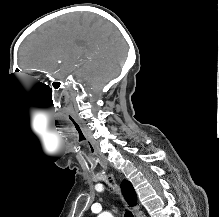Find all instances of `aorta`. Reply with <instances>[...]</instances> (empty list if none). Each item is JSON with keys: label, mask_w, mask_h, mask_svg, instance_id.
I'll return each instance as SVG.
<instances>
[{"label": "aorta", "mask_w": 219, "mask_h": 217, "mask_svg": "<svg viewBox=\"0 0 219 217\" xmlns=\"http://www.w3.org/2000/svg\"><path fill=\"white\" fill-rule=\"evenodd\" d=\"M98 217H113L111 213L109 212H103Z\"/></svg>", "instance_id": "aorta-1"}]
</instances>
